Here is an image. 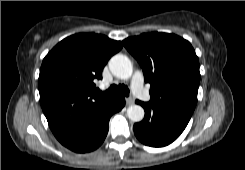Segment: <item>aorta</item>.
<instances>
[{
  "mask_svg": "<svg viewBox=\"0 0 245 170\" xmlns=\"http://www.w3.org/2000/svg\"><path fill=\"white\" fill-rule=\"evenodd\" d=\"M109 69L114 76L123 80L129 79L133 73L130 59L122 54H116L110 59ZM144 114V109L140 105H131L127 109V116L133 122L142 121Z\"/></svg>",
  "mask_w": 245,
  "mask_h": 170,
  "instance_id": "aorta-1",
  "label": "aorta"
}]
</instances>
